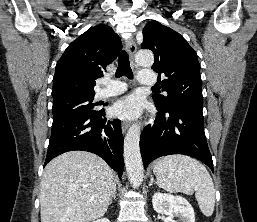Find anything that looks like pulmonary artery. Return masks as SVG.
I'll return each instance as SVG.
<instances>
[{"label": "pulmonary artery", "mask_w": 257, "mask_h": 222, "mask_svg": "<svg viewBox=\"0 0 257 222\" xmlns=\"http://www.w3.org/2000/svg\"><path fill=\"white\" fill-rule=\"evenodd\" d=\"M138 81L144 85H153L155 83V73L150 71H140L138 74ZM101 84L103 87L97 92L98 98L118 95L125 92L127 89V86L119 81L103 79Z\"/></svg>", "instance_id": "obj_1"}]
</instances>
